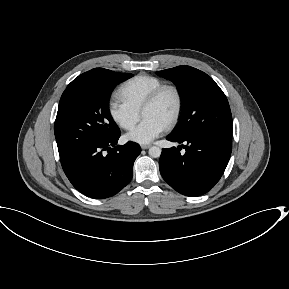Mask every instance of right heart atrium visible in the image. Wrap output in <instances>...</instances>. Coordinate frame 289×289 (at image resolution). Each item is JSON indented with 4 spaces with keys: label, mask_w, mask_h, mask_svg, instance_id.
<instances>
[{
    "label": "right heart atrium",
    "mask_w": 289,
    "mask_h": 289,
    "mask_svg": "<svg viewBox=\"0 0 289 289\" xmlns=\"http://www.w3.org/2000/svg\"><path fill=\"white\" fill-rule=\"evenodd\" d=\"M108 113L111 119L122 129L130 130L140 119V112L118 100L108 103Z\"/></svg>",
    "instance_id": "d8ad5b80"
}]
</instances>
